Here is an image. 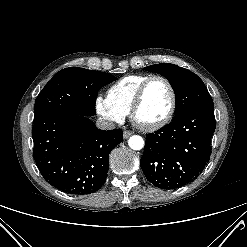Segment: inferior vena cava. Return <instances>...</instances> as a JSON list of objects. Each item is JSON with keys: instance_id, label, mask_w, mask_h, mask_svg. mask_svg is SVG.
Returning a JSON list of instances; mask_svg holds the SVG:
<instances>
[{"instance_id": "obj_1", "label": "inferior vena cava", "mask_w": 247, "mask_h": 247, "mask_svg": "<svg viewBox=\"0 0 247 247\" xmlns=\"http://www.w3.org/2000/svg\"><path fill=\"white\" fill-rule=\"evenodd\" d=\"M96 126L102 130H111L115 128V124L112 121L102 117L97 119Z\"/></svg>"}]
</instances>
